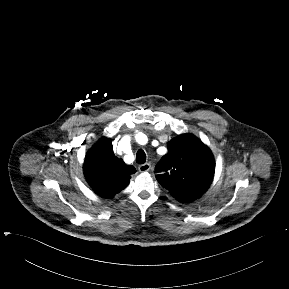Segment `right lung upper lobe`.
Wrapping results in <instances>:
<instances>
[{
	"label": "right lung upper lobe",
	"instance_id": "right-lung-upper-lobe-1",
	"mask_svg": "<svg viewBox=\"0 0 289 289\" xmlns=\"http://www.w3.org/2000/svg\"><path fill=\"white\" fill-rule=\"evenodd\" d=\"M136 172L133 166L126 165L113 152L111 140L103 137L87 153L84 174L95 192L111 198L129 184V173Z\"/></svg>",
	"mask_w": 289,
	"mask_h": 289
}]
</instances>
